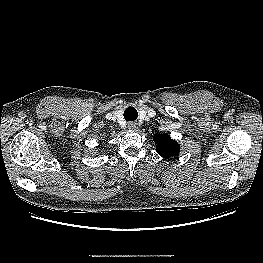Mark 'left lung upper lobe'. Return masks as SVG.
Here are the masks:
<instances>
[{
  "mask_svg": "<svg viewBox=\"0 0 263 263\" xmlns=\"http://www.w3.org/2000/svg\"><path fill=\"white\" fill-rule=\"evenodd\" d=\"M154 142L157 144L156 149L158 154L163 158L170 159L178 156L180 152L179 144L170 138L167 133L155 135Z\"/></svg>",
  "mask_w": 263,
  "mask_h": 263,
  "instance_id": "left-lung-upper-lobe-1",
  "label": "left lung upper lobe"
}]
</instances>
